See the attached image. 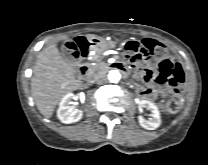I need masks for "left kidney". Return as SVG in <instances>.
Masks as SVG:
<instances>
[{
    "mask_svg": "<svg viewBox=\"0 0 208 165\" xmlns=\"http://www.w3.org/2000/svg\"><path fill=\"white\" fill-rule=\"evenodd\" d=\"M138 108L140 111L142 108H146L151 112L150 116L152 118L150 120H146L142 116L138 118V122L143 128L147 130H155L160 126V112L154 103L146 100H141L138 102Z\"/></svg>",
    "mask_w": 208,
    "mask_h": 165,
    "instance_id": "obj_1",
    "label": "left kidney"
}]
</instances>
